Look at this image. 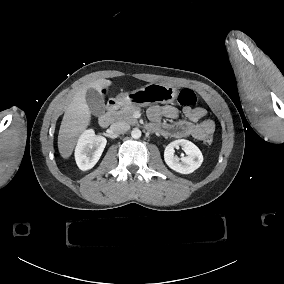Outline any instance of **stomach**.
Here are the masks:
<instances>
[{
  "mask_svg": "<svg viewBox=\"0 0 284 284\" xmlns=\"http://www.w3.org/2000/svg\"><path fill=\"white\" fill-rule=\"evenodd\" d=\"M176 96V88L162 83H150L132 92L120 93L115 101L121 106H149L157 103H172Z\"/></svg>",
  "mask_w": 284,
  "mask_h": 284,
  "instance_id": "0dacf381",
  "label": "stomach"
}]
</instances>
